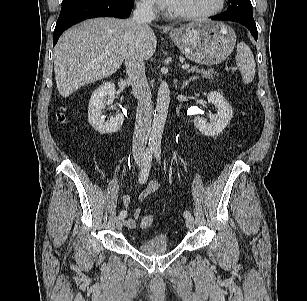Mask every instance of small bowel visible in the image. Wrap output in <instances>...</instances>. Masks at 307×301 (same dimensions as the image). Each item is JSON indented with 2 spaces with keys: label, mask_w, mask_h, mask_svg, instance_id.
<instances>
[{
  "label": "small bowel",
  "mask_w": 307,
  "mask_h": 301,
  "mask_svg": "<svg viewBox=\"0 0 307 301\" xmlns=\"http://www.w3.org/2000/svg\"><path fill=\"white\" fill-rule=\"evenodd\" d=\"M159 189V184L156 181H150L146 187L138 194L137 199L142 201L148 196L156 193ZM121 202L125 207H128L132 202V197L129 195H123L121 198ZM141 215V209L136 208L133 213V218H129L125 221V225L127 228H135L136 227V219Z\"/></svg>",
  "instance_id": "1"
}]
</instances>
